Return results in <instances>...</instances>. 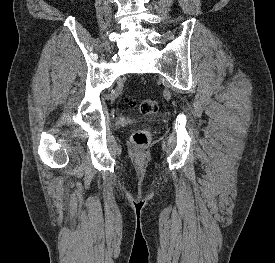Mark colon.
<instances>
[{
	"label": "colon",
	"instance_id": "obj_1",
	"mask_svg": "<svg viewBox=\"0 0 275 263\" xmlns=\"http://www.w3.org/2000/svg\"><path fill=\"white\" fill-rule=\"evenodd\" d=\"M126 102L132 106L135 102L129 98H126ZM157 102L152 98H147L139 103V111L144 115H150L156 112ZM152 139V133L149 129L143 128L133 132L131 140L132 143L137 147H145L150 144Z\"/></svg>",
	"mask_w": 275,
	"mask_h": 263
}]
</instances>
